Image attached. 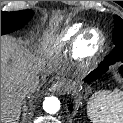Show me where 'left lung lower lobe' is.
<instances>
[{"label":"left lung lower lobe","instance_id":"left-lung-lower-lobe-1","mask_svg":"<svg viewBox=\"0 0 123 123\" xmlns=\"http://www.w3.org/2000/svg\"><path fill=\"white\" fill-rule=\"evenodd\" d=\"M114 64L111 62H107V61H102L98 68L95 69L94 71H92L85 79V82L91 83L97 79H99L101 77V75L105 72H107L109 65ZM120 72L123 75V65L120 67Z\"/></svg>","mask_w":123,"mask_h":123}]
</instances>
